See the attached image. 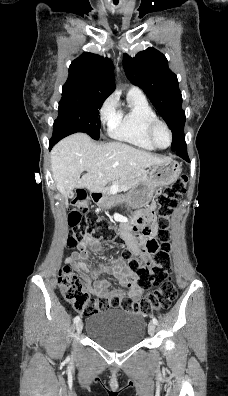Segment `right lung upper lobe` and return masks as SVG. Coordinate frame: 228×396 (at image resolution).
Here are the masks:
<instances>
[{
    "mask_svg": "<svg viewBox=\"0 0 228 396\" xmlns=\"http://www.w3.org/2000/svg\"><path fill=\"white\" fill-rule=\"evenodd\" d=\"M63 89H80L108 97L115 89L112 61L93 53H83L71 63Z\"/></svg>",
    "mask_w": 228,
    "mask_h": 396,
    "instance_id": "cb5924a9",
    "label": "right lung upper lobe"
}]
</instances>
